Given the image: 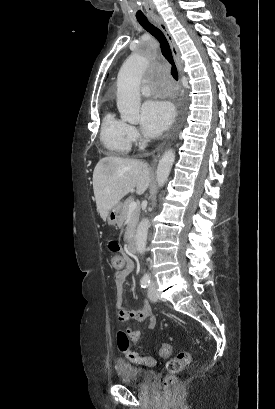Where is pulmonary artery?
Instances as JSON below:
<instances>
[{"mask_svg":"<svg viewBox=\"0 0 275 409\" xmlns=\"http://www.w3.org/2000/svg\"><path fill=\"white\" fill-rule=\"evenodd\" d=\"M143 95L144 96H148L150 93H151V91H152V88L150 87V86H145L144 88H143Z\"/></svg>","mask_w":275,"mask_h":409,"instance_id":"e3ab8cb5","label":"pulmonary artery"}]
</instances>
